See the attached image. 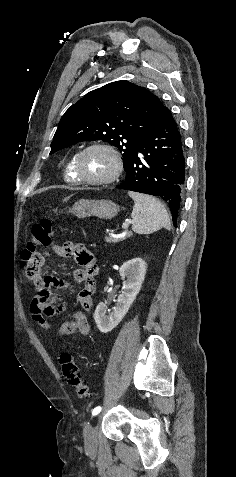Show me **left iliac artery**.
<instances>
[{
    "label": "left iliac artery",
    "instance_id": "1",
    "mask_svg": "<svg viewBox=\"0 0 236 477\" xmlns=\"http://www.w3.org/2000/svg\"><path fill=\"white\" fill-rule=\"evenodd\" d=\"M101 407L98 406V407H95L93 410H92V415L94 416L97 412L101 411Z\"/></svg>",
    "mask_w": 236,
    "mask_h": 477
}]
</instances>
